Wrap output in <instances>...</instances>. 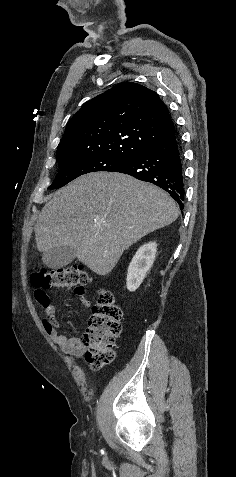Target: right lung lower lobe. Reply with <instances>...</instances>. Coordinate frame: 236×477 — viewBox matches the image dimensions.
<instances>
[{"label":"right lung lower lobe","mask_w":236,"mask_h":477,"mask_svg":"<svg viewBox=\"0 0 236 477\" xmlns=\"http://www.w3.org/2000/svg\"><path fill=\"white\" fill-rule=\"evenodd\" d=\"M153 183L167 191L184 208V182L179 140L174 133L163 143L131 158L114 170Z\"/></svg>","instance_id":"obj_1"}]
</instances>
